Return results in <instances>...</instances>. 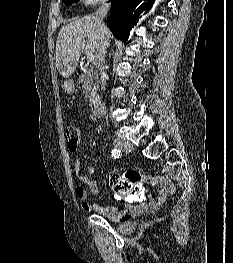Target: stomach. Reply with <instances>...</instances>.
<instances>
[{
  "instance_id": "obj_1",
  "label": "stomach",
  "mask_w": 233,
  "mask_h": 263,
  "mask_svg": "<svg viewBox=\"0 0 233 263\" xmlns=\"http://www.w3.org/2000/svg\"><path fill=\"white\" fill-rule=\"evenodd\" d=\"M64 90L67 93H72L74 90V82L72 80H68L64 83Z\"/></svg>"
}]
</instances>
